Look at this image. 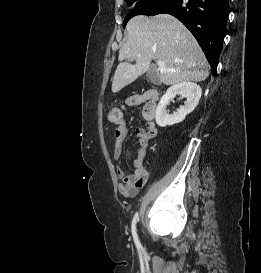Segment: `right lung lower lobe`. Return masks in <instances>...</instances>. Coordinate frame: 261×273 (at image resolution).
<instances>
[{
  "label": "right lung lower lobe",
  "mask_w": 261,
  "mask_h": 273,
  "mask_svg": "<svg viewBox=\"0 0 261 273\" xmlns=\"http://www.w3.org/2000/svg\"><path fill=\"white\" fill-rule=\"evenodd\" d=\"M160 13L173 15L190 30L215 75L226 34L228 0H168L147 8L142 15Z\"/></svg>",
  "instance_id": "right-lung-lower-lobe-1"
}]
</instances>
